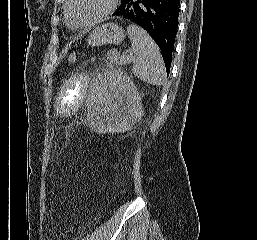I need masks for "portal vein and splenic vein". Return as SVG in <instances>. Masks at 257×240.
Returning a JSON list of instances; mask_svg holds the SVG:
<instances>
[{
  "instance_id": "obj_1",
  "label": "portal vein and splenic vein",
  "mask_w": 257,
  "mask_h": 240,
  "mask_svg": "<svg viewBox=\"0 0 257 240\" xmlns=\"http://www.w3.org/2000/svg\"><path fill=\"white\" fill-rule=\"evenodd\" d=\"M135 58L134 57H131L129 55H126V54H123L121 57H120V61L122 64H127L129 62H132L134 61Z\"/></svg>"
}]
</instances>
